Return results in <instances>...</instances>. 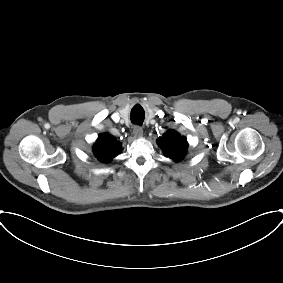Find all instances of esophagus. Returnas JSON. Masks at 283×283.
I'll return each instance as SVG.
<instances>
[{
	"label": "esophagus",
	"instance_id": "esophagus-1",
	"mask_svg": "<svg viewBox=\"0 0 283 283\" xmlns=\"http://www.w3.org/2000/svg\"><path fill=\"white\" fill-rule=\"evenodd\" d=\"M133 134L135 137L139 138L143 135V129L140 126H134Z\"/></svg>",
	"mask_w": 283,
	"mask_h": 283
}]
</instances>
